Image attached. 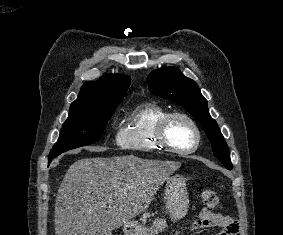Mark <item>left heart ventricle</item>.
Returning a JSON list of instances; mask_svg holds the SVG:
<instances>
[{
    "label": "left heart ventricle",
    "mask_w": 283,
    "mask_h": 235,
    "mask_svg": "<svg viewBox=\"0 0 283 235\" xmlns=\"http://www.w3.org/2000/svg\"><path fill=\"white\" fill-rule=\"evenodd\" d=\"M167 138L178 149L191 148L195 143V133L191 125L183 119H174L167 129Z\"/></svg>",
    "instance_id": "obj_1"
}]
</instances>
